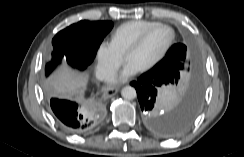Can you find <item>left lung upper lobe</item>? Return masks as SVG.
<instances>
[{
	"mask_svg": "<svg viewBox=\"0 0 244 157\" xmlns=\"http://www.w3.org/2000/svg\"><path fill=\"white\" fill-rule=\"evenodd\" d=\"M189 53L184 44L173 45L166 56L159 61L150 71H155L164 75L172 84H178L184 71L189 70L190 61ZM191 80L190 86L193 85L198 73L194 70L193 62H191Z\"/></svg>",
	"mask_w": 244,
	"mask_h": 157,
	"instance_id": "5c2ea615",
	"label": "left lung upper lobe"
}]
</instances>
